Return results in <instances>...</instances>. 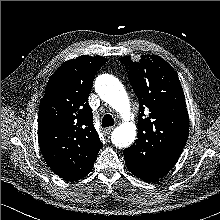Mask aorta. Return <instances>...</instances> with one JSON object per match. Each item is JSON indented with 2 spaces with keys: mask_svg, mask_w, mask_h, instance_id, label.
Returning <instances> with one entry per match:
<instances>
[{
  "mask_svg": "<svg viewBox=\"0 0 220 220\" xmlns=\"http://www.w3.org/2000/svg\"><path fill=\"white\" fill-rule=\"evenodd\" d=\"M95 89L102 100L115 109L123 123L112 132V143L119 148L130 146L136 137V125L130 121L129 98L122 83L112 75L103 74L95 82Z\"/></svg>",
  "mask_w": 220,
  "mask_h": 220,
  "instance_id": "aorta-1",
  "label": "aorta"
}]
</instances>
